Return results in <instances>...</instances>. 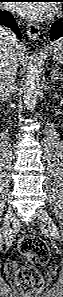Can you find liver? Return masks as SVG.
<instances>
[{"mask_svg":"<svg viewBox=\"0 0 63 297\" xmlns=\"http://www.w3.org/2000/svg\"><path fill=\"white\" fill-rule=\"evenodd\" d=\"M9 37L10 34L8 32V30L1 28L0 29V54L2 51H4L8 45H9ZM16 52H17V59L19 62H23V60L25 59V55H26V48L24 47V45H22L21 43L18 42V46L16 47Z\"/></svg>","mask_w":63,"mask_h":297,"instance_id":"6515ba94","label":"liver"}]
</instances>
